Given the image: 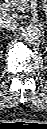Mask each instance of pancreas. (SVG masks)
<instances>
[{
    "instance_id": "obj_1",
    "label": "pancreas",
    "mask_w": 47,
    "mask_h": 129,
    "mask_svg": "<svg viewBox=\"0 0 47 129\" xmlns=\"http://www.w3.org/2000/svg\"><path fill=\"white\" fill-rule=\"evenodd\" d=\"M16 4L17 10L23 12L27 7L26 0H12Z\"/></svg>"
}]
</instances>
